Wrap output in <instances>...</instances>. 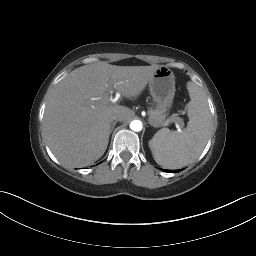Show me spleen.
<instances>
[{"mask_svg":"<svg viewBox=\"0 0 256 256\" xmlns=\"http://www.w3.org/2000/svg\"><path fill=\"white\" fill-rule=\"evenodd\" d=\"M187 89L191 98L187 105V128L183 132L159 130L149 141L155 162L167 169L194 162L209 139L212 121L206 96L193 82H188Z\"/></svg>","mask_w":256,"mask_h":256,"instance_id":"obj_1","label":"spleen"}]
</instances>
